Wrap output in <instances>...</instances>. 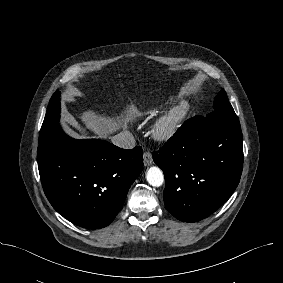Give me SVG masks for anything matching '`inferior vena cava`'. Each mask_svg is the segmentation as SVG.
Wrapping results in <instances>:
<instances>
[{"label":"inferior vena cava","instance_id":"obj_1","mask_svg":"<svg viewBox=\"0 0 283 283\" xmlns=\"http://www.w3.org/2000/svg\"><path fill=\"white\" fill-rule=\"evenodd\" d=\"M111 141L114 145L123 149H131L135 146V139L129 131H122L113 135Z\"/></svg>","mask_w":283,"mask_h":283}]
</instances>
